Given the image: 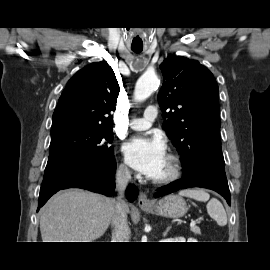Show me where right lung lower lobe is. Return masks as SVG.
Segmentation results:
<instances>
[{
	"label": "right lung lower lobe",
	"mask_w": 270,
	"mask_h": 270,
	"mask_svg": "<svg viewBox=\"0 0 270 270\" xmlns=\"http://www.w3.org/2000/svg\"><path fill=\"white\" fill-rule=\"evenodd\" d=\"M116 162L105 166L90 154L72 155L47 163L40 188L38 209L57 191L82 188L112 196L115 188ZM130 202L137 198L138 190L130 185L126 191Z\"/></svg>",
	"instance_id": "98d812e1"
}]
</instances>
